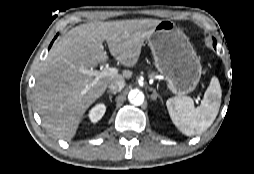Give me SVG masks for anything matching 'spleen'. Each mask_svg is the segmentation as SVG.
Masks as SVG:
<instances>
[{
	"mask_svg": "<svg viewBox=\"0 0 254 174\" xmlns=\"http://www.w3.org/2000/svg\"><path fill=\"white\" fill-rule=\"evenodd\" d=\"M222 90L213 77L202 104L194 107L190 97L177 96L167 100V108L174 125L185 135L193 136L206 131L216 119L221 105Z\"/></svg>",
	"mask_w": 254,
	"mask_h": 174,
	"instance_id": "obj_1",
	"label": "spleen"
}]
</instances>
